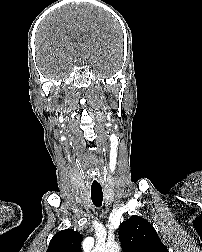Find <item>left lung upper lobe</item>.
Wrapping results in <instances>:
<instances>
[{"instance_id": "obj_1", "label": "left lung upper lobe", "mask_w": 202, "mask_h": 252, "mask_svg": "<svg viewBox=\"0 0 202 252\" xmlns=\"http://www.w3.org/2000/svg\"><path fill=\"white\" fill-rule=\"evenodd\" d=\"M123 252H168L156 230L144 218L131 216L119 227Z\"/></svg>"}]
</instances>
